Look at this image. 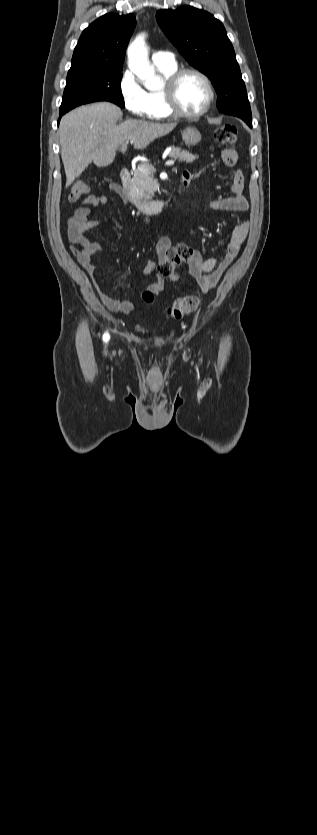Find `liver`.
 <instances>
[{
    "label": "liver",
    "instance_id": "1",
    "mask_svg": "<svg viewBox=\"0 0 317 835\" xmlns=\"http://www.w3.org/2000/svg\"><path fill=\"white\" fill-rule=\"evenodd\" d=\"M120 108L109 102L78 107L64 115L59 127L61 157L66 185L94 162L98 167L111 164L117 149L131 141L134 149L143 150L156 138L165 136L177 123H153L130 119L117 124Z\"/></svg>",
    "mask_w": 317,
    "mask_h": 835
}]
</instances>
